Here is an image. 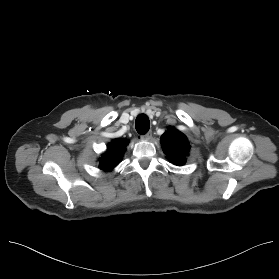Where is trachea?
Here are the masks:
<instances>
[{"instance_id":"obj_1","label":"trachea","mask_w":279,"mask_h":279,"mask_svg":"<svg viewBox=\"0 0 279 279\" xmlns=\"http://www.w3.org/2000/svg\"><path fill=\"white\" fill-rule=\"evenodd\" d=\"M135 126L139 134H146L150 128V121L145 114H140L136 118Z\"/></svg>"}]
</instances>
